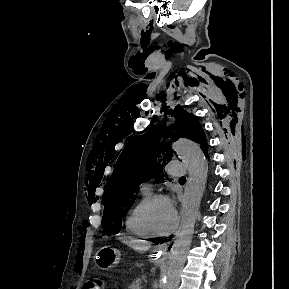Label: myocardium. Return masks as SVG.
<instances>
[{"label":"myocardium","mask_w":289,"mask_h":289,"mask_svg":"<svg viewBox=\"0 0 289 289\" xmlns=\"http://www.w3.org/2000/svg\"><path fill=\"white\" fill-rule=\"evenodd\" d=\"M159 200H168V197L161 193H156L151 195L145 202L141 214H140V220L146 231L154 237H162L170 235L177 227L178 224V217L177 214L174 212V219L172 225L165 231H158L156 230L150 221V212L153 207V205L159 201Z\"/></svg>","instance_id":"f54148a6"}]
</instances>
